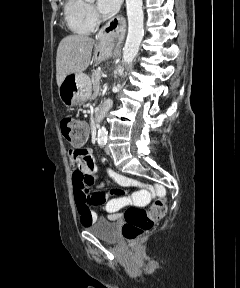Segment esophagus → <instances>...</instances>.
I'll use <instances>...</instances> for the list:
<instances>
[{"label": "esophagus", "instance_id": "1", "mask_svg": "<svg viewBox=\"0 0 240 288\" xmlns=\"http://www.w3.org/2000/svg\"><path fill=\"white\" fill-rule=\"evenodd\" d=\"M125 23L124 18L119 15L109 21L98 33L97 39L105 44L114 45V38H124Z\"/></svg>", "mask_w": 240, "mask_h": 288}]
</instances>
